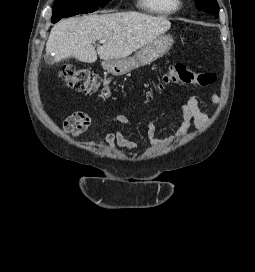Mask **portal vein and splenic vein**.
I'll list each match as a JSON object with an SVG mask.
<instances>
[{
  "instance_id": "18ae733b",
  "label": "portal vein and splenic vein",
  "mask_w": 255,
  "mask_h": 272,
  "mask_svg": "<svg viewBox=\"0 0 255 272\" xmlns=\"http://www.w3.org/2000/svg\"><path fill=\"white\" fill-rule=\"evenodd\" d=\"M104 42H105V40H101V41H100V43H104Z\"/></svg>"
}]
</instances>
